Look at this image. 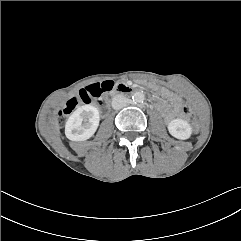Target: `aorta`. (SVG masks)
<instances>
[{
  "label": "aorta",
  "mask_w": 241,
  "mask_h": 241,
  "mask_svg": "<svg viewBox=\"0 0 241 241\" xmlns=\"http://www.w3.org/2000/svg\"><path fill=\"white\" fill-rule=\"evenodd\" d=\"M132 99L134 102L141 103L145 99V95L143 92L137 91L133 94Z\"/></svg>",
  "instance_id": "762f6f07"
}]
</instances>
